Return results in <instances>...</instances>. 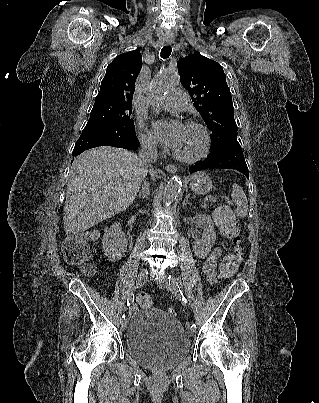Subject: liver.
Listing matches in <instances>:
<instances>
[{"label": "liver", "mask_w": 319, "mask_h": 403, "mask_svg": "<svg viewBox=\"0 0 319 403\" xmlns=\"http://www.w3.org/2000/svg\"><path fill=\"white\" fill-rule=\"evenodd\" d=\"M147 173L148 167L128 150L99 147L80 154L67 184L63 213L66 233L86 231L126 210ZM150 174L157 178L156 171Z\"/></svg>", "instance_id": "obj_1"}]
</instances>
